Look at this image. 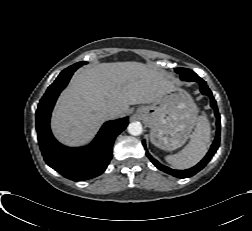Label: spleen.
Listing matches in <instances>:
<instances>
[{"mask_svg":"<svg viewBox=\"0 0 252 231\" xmlns=\"http://www.w3.org/2000/svg\"><path fill=\"white\" fill-rule=\"evenodd\" d=\"M211 128L206 116L196 119V128L189 143L179 153L168 155L165 160L176 169H188L196 165L207 153L210 145Z\"/></svg>","mask_w":252,"mask_h":231,"instance_id":"obj_1","label":"spleen"}]
</instances>
